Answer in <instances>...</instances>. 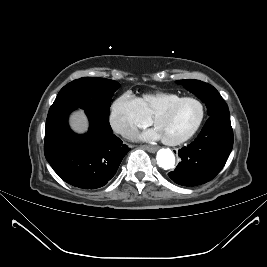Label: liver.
I'll list each match as a JSON object with an SVG mask.
<instances>
[{
    "instance_id": "6515ba94",
    "label": "liver",
    "mask_w": 267,
    "mask_h": 267,
    "mask_svg": "<svg viewBox=\"0 0 267 267\" xmlns=\"http://www.w3.org/2000/svg\"><path fill=\"white\" fill-rule=\"evenodd\" d=\"M69 124L72 130L76 133H85L88 129L89 123L88 119L83 110L74 111L69 119Z\"/></svg>"
}]
</instances>
